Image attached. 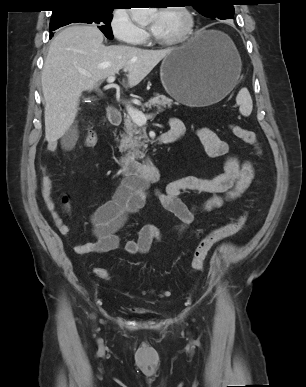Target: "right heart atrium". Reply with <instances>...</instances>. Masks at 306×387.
Masks as SVG:
<instances>
[{
    "label": "right heart atrium",
    "instance_id": "1",
    "mask_svg": "<svg viewBox=\"0 0 306 387\" xmlns=\"http://www.w3.org/2000/svg\"><path fill=\"white\" fill-rule=\"evenodd\" d=\"M109 27L114 38L120 43L140 45L145 42L147 32L132 18L128 9H115L110 18Z\"/></svg>",
    "mask_w": 306,
    "mask_h": 387
}]
</instances>
